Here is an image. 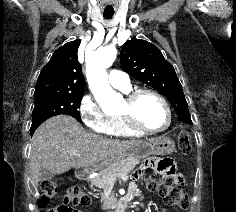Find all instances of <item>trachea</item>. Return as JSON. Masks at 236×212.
Instances as JSON below:
<instances>
[{"instance_id": "obj_1", "label": "trachea", "mask_w": 236, "mask_h": 212, "mask_svg": "<svg viewBox=\"0 0 236 212\" xmlns=\"http://www.w3.org/2000/svg\"><path fill=\"white\" fill-rule=\"evenodd\" d=\"M114 15V12H104L103 16L105 19H111Z\"/></svg>"}]
</instances>
